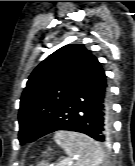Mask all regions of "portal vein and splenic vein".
<instances>
[{
    "label": "portal vein and splenic vein",
    "instance_id": "1",
    "mask_svg": "<svg viewBox=\"0 0 135 166\" xmlns=\"http://www.w3.org/2000/svg\"><path fill=\"white\" fill-rule=\"evenodd\" d=\"M69 164H72V161L69 159H66V160H63L61 163H57L55 166H66ZM46 166H51V165L46 164Z\"/></svg>",
    "mask_w": 135,
    "mask_h": 166
}]
</instances>
